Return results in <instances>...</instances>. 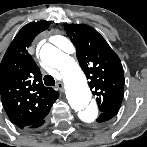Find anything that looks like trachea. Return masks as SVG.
Listing matches in <instances>:
<instances>
[{
	"label": "trachea",
	"mask_w": 147,
	"mask_h": 147,
	"mask_svg": "<svg viewBox=\"0 0 147 147\" xmlns=\"http://www.w3.org/2000/svg\"><path fill=\"white\" fill-rule=\"evenodd\" d=\"M44 83L46 86H54L55 80L51 75H45L44 76Z\"/></svg>",
	"instance_id": "obj_1"
}]
</instances>
